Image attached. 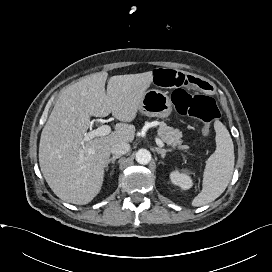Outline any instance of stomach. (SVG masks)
Instances as JSON below:
<instances>
[{
    "label": "stomach",
    "mask_w": 272,
    "mask_h": 272,
    "mask_svg": "<svg viewBox=\"0 0 272 272\" xmlns=\"http://www.w3.org/2000/svg\"><path fill=\"white\" fill-rule=\"evenodd\" d=\"M139 111L149 117L166 118L172 113V102L165 92L151 89L145 92Z\"/></svg>",
    "instance_id": "0dacf381"
}]
</instances>
